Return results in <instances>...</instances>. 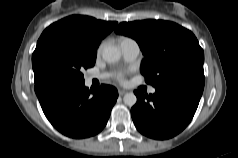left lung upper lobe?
<instances>
[{
	"instance_id": "obj_1",
	"label": "left lung upper lobe",
	"mask_w": 238,
	"mask_h": 158,
	"mask_svg": "<svg viewBox=\"0 0 238 158\" xmlns=\"http://www.w3.org/2000/svg\"><path fill=\"white\" fill-rule=\"evenodd\" d=\"M116 33L137 41L145 56L141 73L154 87L188 76H204L203 49L191 31L176 23L163 20L122 22Z\"/></svg>"
}]
</instances>
